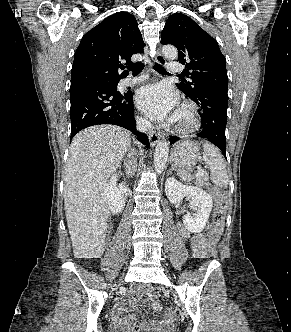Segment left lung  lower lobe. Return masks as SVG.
Returning <instances> with one entry per match:
<instances>
[{"label": "left lung lower lobe", "instance_id": "left-lung-lower-lobe-1", "mask_svg": "<svg viewBox=\"0 0 291 332\" xmlns=\"http://www.w3.org/2000/svg\"><path fill=\"white\" fill-rule=\"evenodd\" d=\"M191 99L201 108L200 116L203 130L197 136L208 139L226 157L227 92L206 91ZM176 139L178 137L172 136L170 142Z\"/></svg>", "mask_w": 291, "mask_h": 332}]
</instances>
